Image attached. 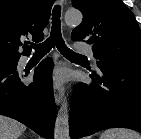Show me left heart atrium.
Wrapping results in <instances>:
<instances>
[{"label": "left heart atrium", "mask_w": 141, "mask_h": 139, "mask_svg": "<svg viewBox=\"0 0 141 139\" xmlns=\"http://www.w3.org/2000/svg\"><path fill=\"white\" fill-rule=\"evenodd\" d=\"M53 78H54L55 83L59 84L64 79V74L61 71H57L55 72Z\"/></svg>", "instance_id": "1"}]
</instances>
